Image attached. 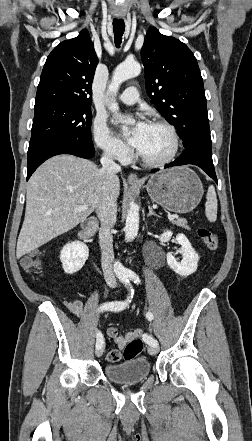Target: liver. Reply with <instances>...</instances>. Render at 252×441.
Wrapping results in <instances>:
<instances>
[{
    "instance_id": "1",
    "label": "liver",
    "mask_w": 252,
    "mask_h": 441,
    "mask_svg": "<svg viewBox=\"0 0 252 441\" xmlns=\"http://www.w3.org/2000/svg\"><path fill=\"white\" fill-rule=\"evenodd\" d=\"M103 182L101 170L90 160L62 154L45 161L28 182L17 258L84 222L100 204ZM119 194L116 177L110 195L117 201ZM79 206L88 208L77 211Z\"/></svg>"
}]
</instances>
